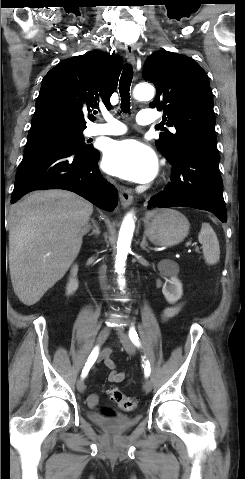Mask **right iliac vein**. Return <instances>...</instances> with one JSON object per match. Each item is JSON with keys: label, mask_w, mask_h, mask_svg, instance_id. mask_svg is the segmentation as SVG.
Returning a JSON list of instances; mask_svg holds the SVG:
<instances>
[{"label": "right iliac vein", "mask_w": 245, "mask_h": 479, "mask_svg": "<svg viewBox=\"0 0 245 479\" xmlns=\"http://www.w3.org/2000/svg\"><path fill=\"white\" fill-rule=\"evenodd\" d=\"M110 334V329L108 327L103 328L97 337V345H101L109 336ZM77 389L79 392H84L85 391V383L82 379H79L77 381Z\"/></svg>", "instance_id": "63e3f726"}]
</instances>
